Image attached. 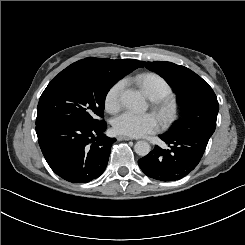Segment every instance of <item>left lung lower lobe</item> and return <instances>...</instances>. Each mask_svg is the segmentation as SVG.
<instances>
[{
    "label": "left lung lower lobe",
    "instance_id": "0a47b994",
    "mask_svg": "<svg viewBox=\"0 0 245 245\" xmlns=\"http://www.w3.org/2000/svg\"><path fill=\"white\" fill-rule=\"evenodd\" d=\"M217 111L213 107L201 111L180 128L159 137L170 147L155 146L148 155L138 160L141 170L150 178L176 181L187 176L200 162L207 143L215 131Z\"/></svg>",
    "mask_w": 245,
    "mask_h": 245
}]
</instances>
